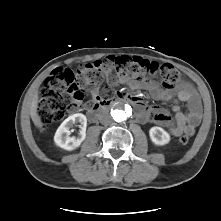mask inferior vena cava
I'll use <instances>...</instances> for the list:
<instances>
[{
	"label": "inferior vena cava",
	"instance_id": "602c4592",
	"mask_svg": "<svg viewBox=\"0 0 221 221\" xmlns=\"http://www.w3.org/2000/svg\"><path fill=\"white\" fill-rule=\"evenodd\" d=\"M99 120L102 124H109L111 122V117L107 112H102L99 115Z\"/></svg>",
	"mask_w": 221,
	"mask_h": 221
}]
</instances>
